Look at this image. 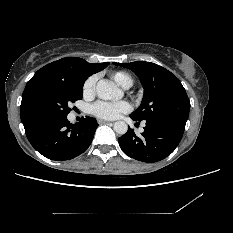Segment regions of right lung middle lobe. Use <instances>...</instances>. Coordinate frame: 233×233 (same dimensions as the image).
I'll return each mask as SVG.
<instances>
[{
    "mask_svg": "<svg viewBox=\"0 0 233 233\" xmlns=\"http://www.w3.org/2000/svg\"><path fill=\"white\" fill-rule=\"evenodd\" d=\"M83 84L70 81H47L39 84L28 101V109L35 121L67 117L69 105L83 97Z\"/></svg>",
    "mask_w": 233,
    "mask_h": 233,
    "instance_id": "dd1d6c3e",
    "label": "right lung middle lobe"
}]
</instances>
